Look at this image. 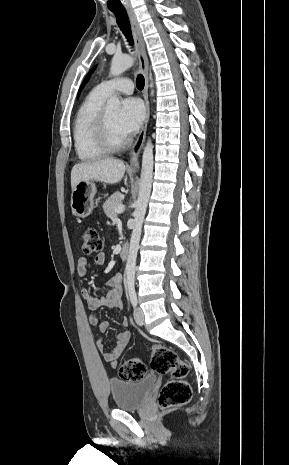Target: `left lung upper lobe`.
<instances>
[{
    "mask_svg": "<svg viewBox=\"0 0 289 465\" xmlns=\"http://www.w3.org/2000/svg\"><path fill=\"white\" fill-rule=\"evenodd\" d=\"M93 70H94V69H92V70L90 71V73L86 76L85 80L83 81V83H82V85H81V87H80L79 93H80L81 89L83 88V86H84V85L86 84V82L88 81V79H89L90 75L92 74Z\"/></svg>",
    "mask_w": 289,
    "mask_h": 465,
    "instance_id": "1",
    "label": "left lung upper lobe"
}]
</instances>
